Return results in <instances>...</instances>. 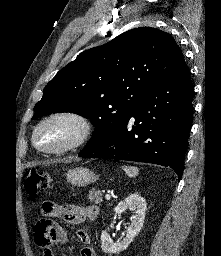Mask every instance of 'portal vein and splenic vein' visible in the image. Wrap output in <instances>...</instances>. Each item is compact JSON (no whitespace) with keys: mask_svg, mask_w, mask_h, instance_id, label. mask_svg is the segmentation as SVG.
Returning <instances> with one entry per match:
<instances>
[{"mask_svg":"<svg viewBox=\"0 0 221 256\" xmlns=\"http://www.w3.org/2000/svg\"><path fill=\"white\" fill-rule=\"evenodd\" d=\"M105 198H106V200H110L111 199V195L110 194H106Z\"/></svg>","mask_w":221,"mask_h":256,"instance_id":"1","label":"portal vein and splenic vein"}]
</instances>
